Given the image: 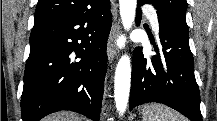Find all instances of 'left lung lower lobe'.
<instances>
[{
    "mask_svg": "<svg viewBox=\"0 0 217 121\" xmlns=\"http://www.w3.org/2000/svg\"><path fill=\"white\" fill-rule=\"evenodd\" d=\"M143 4L151 3L138 0L137 25L140 24V6ZM157 14L159 43H154L157 54L145 58L142 47L134 50L130 110L144 103L157 102L179 111L192 121H202L200 94L194 76L188 33L158 11Z\"/></svg>",
    "mask_w": 217,
    "mask_h": 121,
    "instance_id": "obj_1",
    "label": "left lung lower lobe"
}]
</instances>
